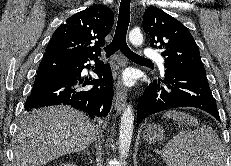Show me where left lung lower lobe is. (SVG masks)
<instances>
[{"label":"left lung lower lobe","instance_id":"obj_1","mask_svg":"<svg viewBox=\"0 0 231 166\" xmlns=\"http://www.w3.org/2000/svg\"><path fill=\"white\" fill-rule=\"evenodd\" d=\"M177 107L199 108L220 121L205 71L166 68L163 80H154L139 100L137 122L154 113Z\"/></svg>","mask_w":231,"mask_h":166}]
</instances>
